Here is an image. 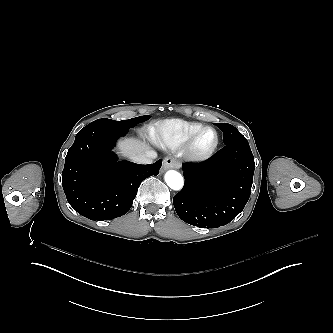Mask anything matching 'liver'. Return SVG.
Returning a JSON list of instances; mask_svg holds the SVG:
<instances>
[{"label":"liver","mask_w":333,"mask_h":333,"mask_svg":"<svg viewBox=\"0 0 333 333\" xmlns=\"http://www.w3.org/2000/svg\"><path fill=\"white\" fill-rule=\"evenodd\" d=\"M121 149L126 156H131L144 153L149 149V147L148 145L139 141L127 140L121 144Z\"/></svg>","instance_id":"obj_1"}]
</instances>
